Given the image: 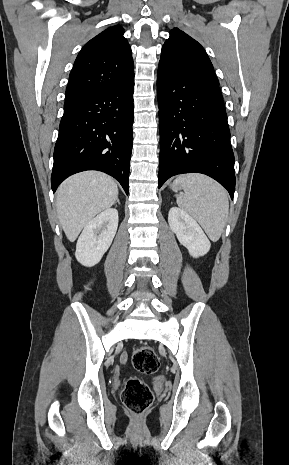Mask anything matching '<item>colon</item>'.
I'll list each match as a JSON object with an SVG mask.
<instances>
[{
	"mask_svg": "<svg viewBox=\"0 0 289 465\" xmlns=\"http://www.w3.org/2000/svg\"><path fill=\"white\" fill-rule=\"evenodd\" d=\"M132 364L141 373L153 374L159 370L160 360L152 347L141 346L133 353ZM122 401L131 413L140 415L151 405L153 394L143 380L131 377L122 391Z\"/></svg>",
	"mask_w": 289,
	"mask_h": 465,
	"instance_id": "1",
	"label": "colon"
}]
</instances>
